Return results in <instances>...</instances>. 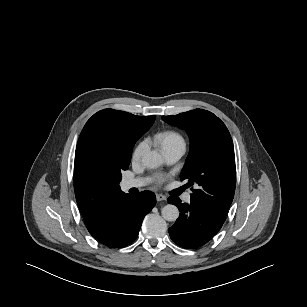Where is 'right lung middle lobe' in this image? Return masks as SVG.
<instances>
[{"mask_svg": "<svg viewBox=\"0 0 307 307\" xmlns=\"http://www.w3.org/2000/svg\"><path fill=\"white\" fill-rule=\"evenodd\" d=\"M142 134L130 127L110 128L103 131L96 142L99 165L121 181V172L130 164L133 146Z\"/></svg>", "mask_w": 307, "mask_h": 307, "instance_id": "right-lung-middle-lobe-1", "label": "right lung middle lobe"}]
</instances>
